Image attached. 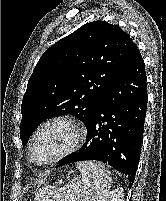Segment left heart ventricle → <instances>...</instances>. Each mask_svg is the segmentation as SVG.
I'll list each match as a JSON object with an SVG mask.
<instances>
[{
    "label": "left heart ventricle",
    "mask_w": 166,
    "mask_h": 201,
    "mask_svg": "<svg viewBox=\"0 0 166 201\" xmlns=\"http://www.w3.org/2000/svg\"><path fill=\"white\" fill-rule=\"evenodd\" d=\"M72 140L73 131L69 126L52 124L38 135L33 148V158L37 162L47 160L65 151Z\"/></svg>",
    "instance_id": "b2bd125f"
}]
</instances>
